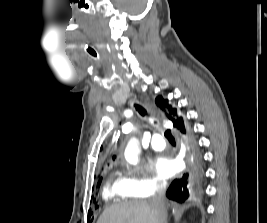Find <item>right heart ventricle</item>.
Returning <instances> with one entry per match:
<instances>
[{
    "mask_svg": "<svg viewBox=\"0 0 267 223\" xmlns=\"http://www.w3.org/2000/svg\"><path fill=\"white\" fill-rule=\"evenodd\" d=\"M131 196L123 185L122 177L118 176L106 184L103 190V198L115 203L117 200Z\"/></svg>",
    "mask_w": 267,
    "mask_h": 223,
    "instance_id": "obj_1",
    "label": "right heart ventricle"
}]
</instances>
